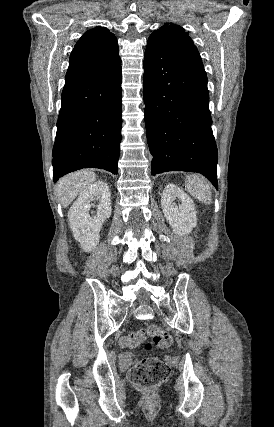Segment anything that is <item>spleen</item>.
<instances>
[{"instance_id": "3e777b00", "label": "spleen", "mask_w": 274, "mask_h": 427, "mask_svg": "<svg viewBox=\"0 0 274 427\" xmlns=\"http://www.w3.org/2000/svg\"><path fill=\"white\" fill-rule=\"evenodd\" d=\"M186 190L190 196H194L199 202L210 204L212 196L209 184H207L206 180L200 178V176H195V174L194 176H187Z\"/></svg>"}]
</instances>
